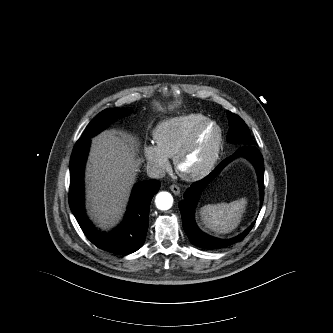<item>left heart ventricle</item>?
<instances>
[{"label": "left heart ventricle", "mask_w": 333, "mask_h": 333, "mask_svg": "<svg viewBox=\"0 0 333 333\" xmlns=\"http://www.w3.org/2000/svg\"><path fill=\"white\" fill-rule=\"evenodd\" d=\"M217 137L214 126H209L200 135L198 142L184 163L188 171L199 168L208 158Z\"/></svg>", "instance_id": "b2bd125f"}]
</instances>
